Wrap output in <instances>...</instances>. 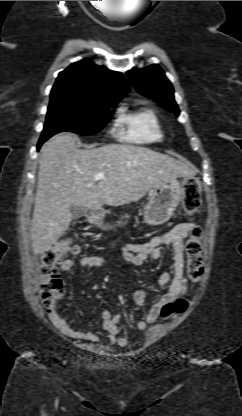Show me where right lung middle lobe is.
<instances>
[{
    "instance_id": "obj_1",
    "label": "right lung middle lobe",
    "mask_w": 242,
    "mask_h": 416,
    "mask_svg": "<svg viewBox=\"0 0 242 416\" xmlns=\"http://www.w3.org/2000/svg\"><path fill=\"white\" fill-rule=\"evenodd\" d=\"M118 102L50 99L40 140L70 131L85 135L99 132L109 121L110 109Z\"/></svg>"
}]
</instances>
